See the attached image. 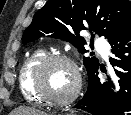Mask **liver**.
Returning a JSON list of instances; mask_svg holds the SVG:
<instances>
[{
    "mask_svg": "<svg viewBox=\"0 0 131 115\" xmlns=\"http://www.w3.org/2000/svg\"><path fill=\"white\" fill-rule=\"evenodd\" d=\"M11 115H47L44 112H41L39 110H36L34 108H28V107H19L15 109Z\"/></svg>",
    "mask_w": 131,
    "mask_h": 115,
    "instance_id": "1",
    "label": "liver"
}]
</instances>
